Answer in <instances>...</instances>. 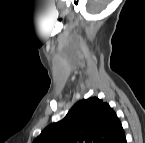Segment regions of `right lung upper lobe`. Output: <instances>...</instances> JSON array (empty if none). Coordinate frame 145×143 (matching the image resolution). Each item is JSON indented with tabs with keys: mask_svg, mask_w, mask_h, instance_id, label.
Masks as SVG:
<instances>
[{
	"mask_svg": "<svg viewBox=\"0 0 145 143\" xmlns=\"http://www.w3.org/2000/svg\"><path fill=\"white\" fill-rule=\"evenodd\" d=\"M34 143H126L122 125L106 102H77L65 118L47 126Z\"/></svg>",
	"mask_w": 145,
	"mask_h": 143,
	"instance_id": "obj_1",
	"label": "right lung upper lobe"
}]
</instances>
